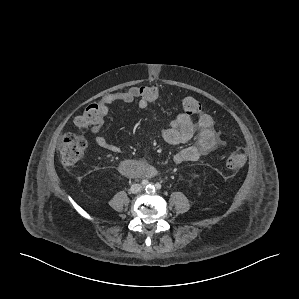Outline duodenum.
Returning <instances> with one entry per match:
<instances>
[{"instance_id":"1","label":"duodenum","mask_w":299,"mask_h":299,"mask_svg":"<svg viewBox=\"0 0 299 299\" xmlns=\"http://www.w3.org/2000/svg\"><path fill=\"white\" fill-rule=\"evenodd\" d=\"M120 171L129 177L137 176L140 173V163L134 160H127L120 164Z\"/></svg>"}]
</instances>
